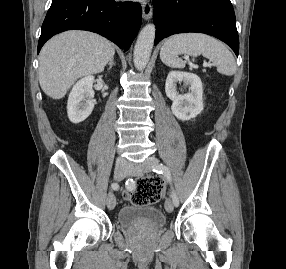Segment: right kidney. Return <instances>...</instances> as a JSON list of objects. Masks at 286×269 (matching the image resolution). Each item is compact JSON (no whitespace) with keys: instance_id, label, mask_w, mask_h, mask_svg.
I'll return each mask as SVG.
<instances>
[{"instance_id":"ca27d5eb","label":"right kidney","mask_w":286,"mask_h":269,"mask_svg":"<svg viewBox=\"0 0 286 269\" xmlns=\"http://www.w3.org/2000/svg\"><path fill=\"white\" fill-rule=\"evenodd\" d=\"M93 82L92 75L86 76L73 86L69 94L67 114L74 124L84 121L93 111L95 105Z\"/></svg>"}]
</instances>
